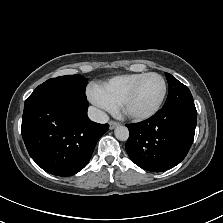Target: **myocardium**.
Segmentation results:
<instances>
[{"label":"myocardium","instance_id":"1","mask_svg":"<svg viewBox=\"0 0 223 223\" xmlns=\"http://www.w3.org/2000/svg\"><path fill=\"white\" fill-rule=\"evenodd\" d=\"M149 76H157L158 78H160V80L162 82V92H161L160 98H159L158 102L156 103V105L150 111H148L146 113H132V112L124 111L123 108L130 102V100L136 93L139 85L142 83V81L146 77H149ZM166 90H167L166 82L160 74L155 73V72H150V73L144 74L139 80L136 81V83L128 90V92L120 100V102L118 104V110L115 113L116 117H118L120 119H129V120H134V121H144V120H148V119L152 118L160 110L161 105H162L164 98L166 96Z\"/></svg>","mask_w":223,"mask_h":223}]
</instances>
